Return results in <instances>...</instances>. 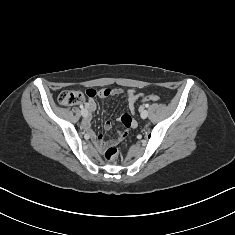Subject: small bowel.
<instances>
[{
	"label": "small bowel",
	"mask_w": 235,
	"mask_h": 235,
	"mask_svg": "<svg viewBox=\"0 0 235 235\" xmlns=\"http://www.w3.org/2000/svg\"><path fill=\"white\" fill-rule=\"evenodd\" d=\"M120 93V90L118 89H109L107 94L102 95V96H107V95H114V94H118ZM140 97V94H138L135 90H128L126 93V100L128 103V108L130 110L131 113H134L135 111V104L138 100V98ZM85 107L86 109L92 113L95 109H96V103L95 101L90 98L86 103H85ZM82 126L84 128V130L91 135L92 139L94 140V142L98 145L103 144V137L102 136H94L92 135L91 129H90V120L89 119H85L82 123ZM112 124L110 121H106L105 122V129L109 130L111 128Z\"/></svg>",
	"instance_id": "obj_1"
}]
</instances>
